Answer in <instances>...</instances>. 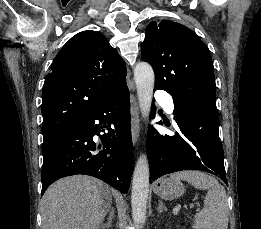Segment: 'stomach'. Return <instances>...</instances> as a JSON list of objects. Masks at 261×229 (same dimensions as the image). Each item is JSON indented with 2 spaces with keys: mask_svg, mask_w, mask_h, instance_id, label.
Wrapping results in <instances>:
<instances>
[{
  "mask_svg": "<svg viewBox=\"0 0 261 229\" xmlns=\"http://www.w3.org/2000/svg\"><path fill=\"white\" fill-rule=\"evenodd\" d=\"M185 187L177 179H159L154 185V193L164 199V201H173L184 195Z\"/></svg>",
  "mask_w": 261,
  "mask_h": 229,
  "instance_id": "0dacf381",
  "label": "stomach"
}]
</instances>
